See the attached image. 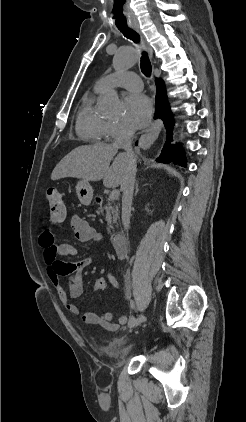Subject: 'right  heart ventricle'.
Here are the masks:
<instances>
[{"mask_svg":"<svg viewBox=\"0 0 246 422\" xmlns=\"http://www.w3.org/2000/svg\"><path fill=\"white\" fill-rule=\"evenodd\" d=\"M95 90L92 94H86L81 102L76 119V132L85 139L92 142H99L104 139V130L106 120L103 119L95 110Z\"/></svg>","mask_w":246,"mask_h":422,"instance_id":"obj_1","label":"right heart ventricle"}]
</instances>
